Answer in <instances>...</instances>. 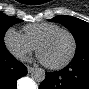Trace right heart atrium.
Here are the masks:
<instances>
[{
    "label": "right heart atrium",
    "instance_id": "obj_1",
    "mask_svg": "<svg viewBox=\"0 0 89 89\" xmlns=\"http://www.w3.org/2000/svg\"><path fill=\"white\" fill-rule=\"evenodd\" d=\"M7 50L17 59L22 60L35 50V46L14 27L8 28L3 37Z\"/></svg>",
    "mask_w": 89,
    "mask_h": 89
}]
</instances>
